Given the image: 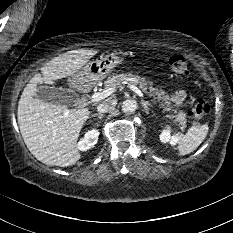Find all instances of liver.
Masks as SVG:
<instances>
[{"instance_id":"1","label":"liver","mask_w":233,"mask_h":233,"mask_svg":"<svg viewBox=\"0 0 233 233\" xmlns=\"http://www.w3.org/2000/svg\"><path fill=\"white\" fill-rule=\"evenodd\" d=\"M94 54L96 51L89 49L60 54L46 63L42 75H35L22 92L17 109L19 129L29 151L46 165L68 167L81 158L77 141L91 112L86 107L69 111L66 105L43 101L37 97L38 84L53 85L54 80L73 77ZM69 82L81 89L70 78Z\"/></svg>"}]
</instances>
